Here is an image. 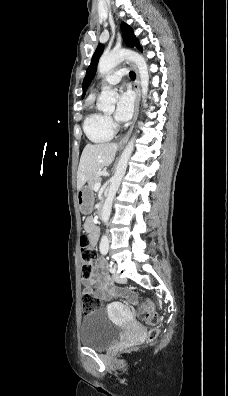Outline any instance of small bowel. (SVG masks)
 <instances>
[{"mask_svg":"<svg viewBox=\"0 0 228 396\" xmlns=\"http://www.w3.org/2000/svg\"><path fill=\"white\" fill-rule=\"evenodd\" d=\"M85 229L89 233V246L93 249L99 239V231L93 218L90 217L86 220ZM97 266L100 268L102 265L99 263ZM83 285L84 293H91L95 289L96 296L104 301H110L115 297H125L132 303L136 301V295L133 292L115 287L110 278L103 272L97 271L89 279L84 278ZM121 309L126 311L125 307Z\"/></svg>","mask_w":228,"mask_h":396,"instance_id":"obj_1","label":"small bowel"}]
</instances>
